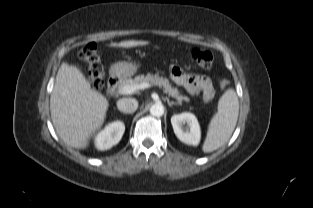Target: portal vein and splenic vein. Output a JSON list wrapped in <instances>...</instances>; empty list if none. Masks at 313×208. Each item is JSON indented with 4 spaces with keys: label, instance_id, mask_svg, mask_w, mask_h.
<instances>
[{
    "label": "portal vein and splenic vein",
    "instance_id": "portal-vein-and-splenic-vein-1",
    "mask_svg": "<svg viewBox=\"0 0 313 208\" xmlns=\"http://www.w3.org/2000/svg\"><path fill=\"white\" fill-rule=\"evenodd\" d=\"M149 87H151V84L144 82L138 85H126L123 88H121L119 92L121 94L128 95V94H133L137 90L146 89Z\"/></svg>",
    "mask_w": 313,
    "mask_h": 208
}]
</instances>
